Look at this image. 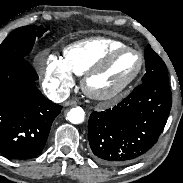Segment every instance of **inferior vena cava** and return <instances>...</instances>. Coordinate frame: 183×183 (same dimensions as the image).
<instances>
[{"label": "inferior vena cava", "mask_w": 183, "mask_h": 183, "mask_svg": "<svg viewBox=\"0 0 183 183\" xmlns=\"http://www.w3.org/2000/svg\"><path fill=\"white\" fill-rule=\"evenodd\" d=\"M45 93L48 96V98L55 103L63 102L69 96L68 89H63V90L59 89L57 91L47 90Z\"/></svg>", "instance_id": "obj_1"}]
</instances>
